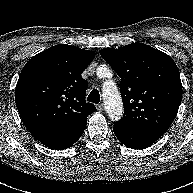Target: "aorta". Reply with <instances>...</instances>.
I'll return each mask as SVG.
<instances>
[{"label": "aorta", "mask_w": 193, "mask_h": 193, "mask_svg": "<svg viewBox=\"0 0 193 193\" xmlns=\"http://www.w3.org/2000/svg\"><path fill=\"white\" fill-rule=\"evenodd\" d=\"M103 99L108 116L112 120H118L123 113V105L120 93L116 86H107L103 89Z\"/></svg>", "instance_id": "obj_1"}]
</instances>
